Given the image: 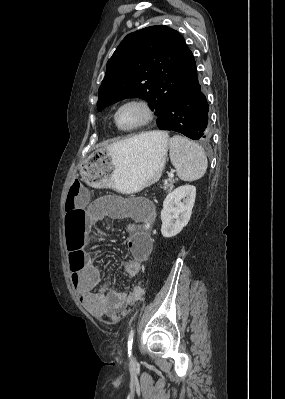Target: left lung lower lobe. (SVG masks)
Returning <instances> with one entry per match:
<instances>
[{"label": "left lung lower lobe", "instance_id": "1", "mask_svg": "<svg viewBox=\"0 0 285 399\" xmlns=\"http://www.w3.org/2000/svg\"><path fill=\"white\" fill-rule=\"evenodd\" d=\"M209 106L201 91L197 72L189 76L175 90L160 130L176 131L193 140L210 137Z\"/></svg>", "mask_w": 285, "mask_h": 399}]
</instances>
